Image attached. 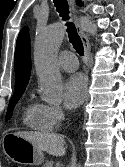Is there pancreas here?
<instances>
[{
	"mask_svg": "<svg viewBox=\"0 0 125 167\" xmlns=\"http://www.w3.org/2000/svg\"><path fill=\"white\" fill-rule=\"evenodd\" d=\"M43 167H53V161L47 160Z\"/></svg>",
	"mask_w": 125,
	"mask_h": 167,
	"instance_id": "cf45deb5",
	"label": "pancreas"
}]
</instances>
